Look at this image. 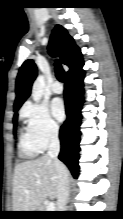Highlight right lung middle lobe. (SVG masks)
Instances as JSON below:
<instances>
[{
    "label": "right lung middle lobe",
    "mask_w": 123,
    "mask_h": 219,
    "mask_svg": "<svg viewBox=\"0 0 123 219\" xmlns=\"http://www.w3.org/2000/svg\"><path fill=\"white\" fill-rule=\"evenodd\" d=\"M15 112H17V111H15ZM13 122H14V124H16V122H17V113H15V115H14Z\"/></svg>",
    "instance_id": "1"
}]
</instances>
